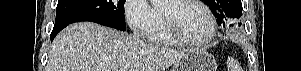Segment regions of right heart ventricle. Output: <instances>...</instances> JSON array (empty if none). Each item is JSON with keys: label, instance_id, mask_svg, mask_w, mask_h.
Segmentation results:
<instances>
[{"label": "right heart ventricle", "instance_id": "obj_1", "mask_svg": "<svg viewBox=\"0 0 301 71\" xmlns=\"http://www.w3.org/2000/svg\"><path fill=\"white\" fill-rule=\"evenodd\" d=\"M146 38L149 42L154 44L165 45V46L176 45V42L168 34L164 21L160 14H158V21L156 25L150 32L149 36Z\"/></svg>", "mask_w": 301, "mask_h": 71}]
</instances>
